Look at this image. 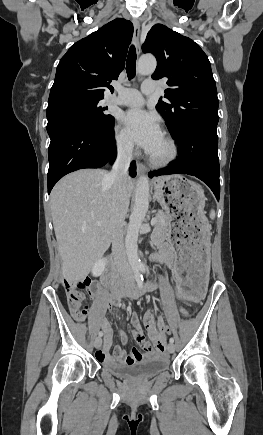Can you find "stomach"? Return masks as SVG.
Listing matches in <instances>:
<instances>
[{"instance_id":"1","label":"stomach","mask_w":263,"mask_h":435,"mask_svg":"<svg viewBox=\"0 0 263 435\" xmlns=\"http://www.w3.org/2000/svg\"><path fill=\"white\" fill-rule=\"evenodd\" d=\"M153 186L156 200L169 211V219H174V224H168L176 254L171 264L174 290L170 297L177 305H199L200 299L206 298L205 288L211 287L206 262L212 246V224L203 208L204 191L182 175L156 178Z\"/></svg>"}]
</instances>
